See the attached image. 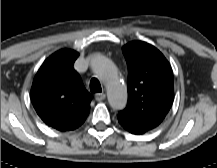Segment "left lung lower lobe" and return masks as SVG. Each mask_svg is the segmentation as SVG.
Masks as SVG:
<instances>
[{"label": "left lung lower lobe", "mask_w": 217, "mask_h": 168, "mask_svg": "<svg viewBox=\"0 0 217 168\" xmlns=\"http://www.w3.org/2000/svg\"><path fill=\"white\" fill-rule=\"evenodd\" d=\"M120 124L123 126L124 129H126L127 131H129L132 134H143V132H141V131H139V130L127 125V124H125V123H120Z\"/></svg>", "instance_id": "1"}]
</instances>
